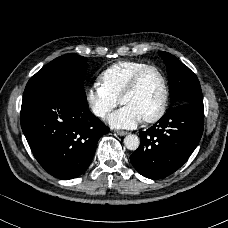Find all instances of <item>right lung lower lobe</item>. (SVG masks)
<instances>
[{
    "label": "right lung lower lobe",
    "mask_w": 228,
    "mask_h": 228,
    "mask_svg": "<svg viewBox=\"0 0 228 228\" xmlns=\"http://www.w3.org/2000/svg\"><path fill=\"white\" fill-rule=\"evenodd\" d=\"M21 127L34 157L59 179L81 175L92 161L99 138L109 132L89 111L86 100L56 87L24 92Z\"/></svg>",
    "instance_id": "obj_1"
}]
</instances>
